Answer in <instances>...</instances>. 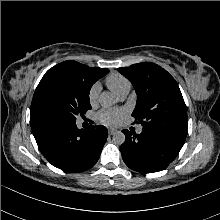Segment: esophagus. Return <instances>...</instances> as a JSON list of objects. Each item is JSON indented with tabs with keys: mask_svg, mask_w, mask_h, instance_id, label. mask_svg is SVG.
<instances>
[{
	"mask_svg": "<svg viewBox=\"0 0 220 220\" xmlns=\"http://www.w3.org/2000/svg\"><path fill=\"white\" fill-rule=\"evenodd\" d=\"M115 132H116L115 129H109V130H108L109 135H113Z\"/></svg>",
	"mask_w": 220,
	"mask_h": 220,
	"instance_id": "obj_1",
	"label": "esophagus"
}]
</instances>
